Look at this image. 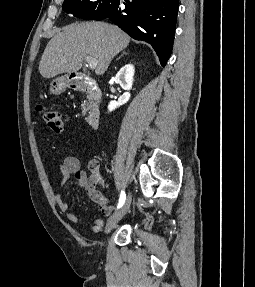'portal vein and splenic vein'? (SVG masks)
Instances as JSON below:
<instances>
[{
	"label": "portal vein and splenic vein",
	"instance_id": "1",
	"mask_svg": "<svg viewBox=\"0 0 255 287\" xmlns=\"http://www.w3.org/2000/svg\"><path fill=\"white\" fill-rule=\"evenodd\" d=\"M89 68H91V70H95L97 64H98V60H96V58H92V56H84Z\"/></svg>",
	"mask_w": 255,
	"mask_h": 287
}]
</instances>
